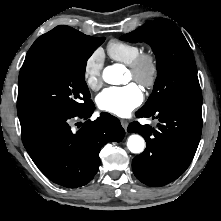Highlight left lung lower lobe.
Returning a JSON list of instances; mask_svg holds the SVG:
<instances>
[{
  "label": "left lung lower lobe",
  "mask_w": 221,
  "mask_h": 221,
  "mask_svg": "<svg viewBox=\"0 0 221 221\" xmlns=\"http://www.w3.org/2000/svg\"><path fill=\"white\" fill-rule=\"evenodd\" d=\"M201 107L161 101L140 108L138 118L158 119L157 129L132 122L128 132L139 133L146 149L133 158L135 176L144 184L164 186L177 179L190 165L202 132Z\"/></svg>",
  "instance_id": "left-lung-lower-lobe-1"
}]
</instances>
